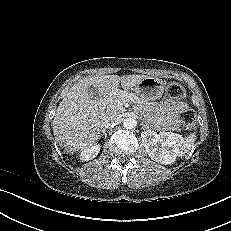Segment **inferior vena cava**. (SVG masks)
<instances>
[{
  "instance_id": "inferior-vena-cava-1",
  "label": "inferior vena cava",
  "mask_w": 231,
  "mask_h": 231,
  "mask_svg": "<svg viewBox=\"0 0 231 231\" xmlns=\"http://www.w3.org/2000/svg\"><path fill=\"white\" fill-rule=\"evenodd\" d=\"M118 121V116L115 114H109L106 115L103 118V127L104 128H110L111 126H113L116 122Z\"/></svg>"
}]
</instances>
